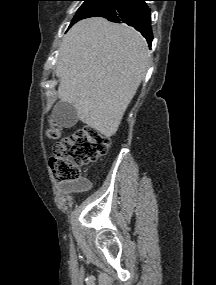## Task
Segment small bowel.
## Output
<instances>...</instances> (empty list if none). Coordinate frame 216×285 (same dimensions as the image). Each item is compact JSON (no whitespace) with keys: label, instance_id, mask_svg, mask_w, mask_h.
I'll use <instances>...</instances> for the list:
<instances>
[{"label":"small bowel","instance_id":"obj_1","mask_svg":"<svg viewBox=\"0 0 216 285\" xmlns=\"http://www.w3.org/2000/svg\"><path fill=\"white\" fill-rule=\"evenodd\" d=\"M88 182L85 180L78 182L63 183L60 189L63 193L84 191L88 188Z\"/></svg>","mask_w":216,"mask_h":285}]
</instances>
